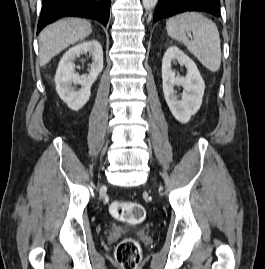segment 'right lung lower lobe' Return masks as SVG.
Segmentation results:
<instances>
[{"label":"right lung lower lobe","mask_w":265,"mask_h":269,"mask_svg":"<svg viewBox=\"0 0 265 269\" xmlns=\"http://www.w3.org/2000/svg\"><path fill=\"white\" fill-rule=\"evenodd\" d=\"M111 0H42L37 34L49 23L67 16L94 19L106 26Z\"/></svg>","instance_id":"right-lung-lower-lobe-1"}]
</instances>
